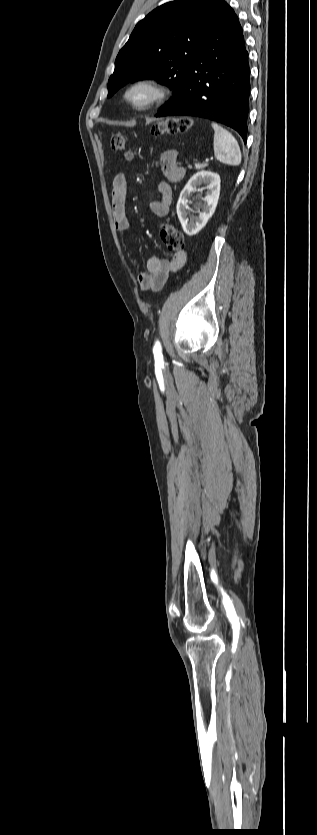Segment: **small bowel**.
<instances>
[{
  "label": "small bowel",
  "instance_id": "c3829d8e",
  "mask_svg": "<svg viewBox=\"0 0 317 835\" xmlns=\"http://www.w3.org/2000/svg\"><path fill=\"white\" fill-rule=\"evenodd\" d=\"M164 179L158 184L159 199L150 203L151 211L157 217H165L170 210L173 191L172 184L180 182L185 169L177 161L175 150L165 151L160 158ZM127 180L124 173L115 175L112 181L111 215L118 232L129 229V220L125 211ZM187 260V253L182 250L171 259L153 256L147 261V271L137 276L140 288L144 291H158L162 288L171 272L181 269Z\"/></svg>",
  "mask_w": 317,
  "mask_h": 835
}]
</instances>
